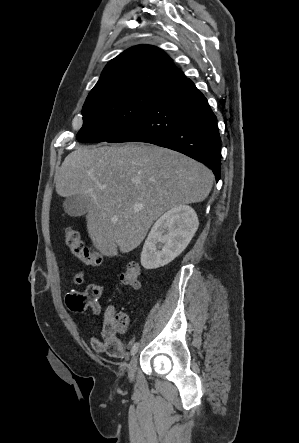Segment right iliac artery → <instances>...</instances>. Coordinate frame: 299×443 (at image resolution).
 Listing matches in <instances>:
<instances>
[{"label":"right iliac artery","instance_id":"obj_1","mask_svg":"<svg viewBox=\"0 0 299 443\" xmlns=\"http://www.w3.org/2000/svg\"><path fill=\"white\" fill-rule=\"evenodd\" d=\"M139 343H135L131 349V355H135L138 351Z\"/></svg>","mask_w":299,"mask_h":443}]
</instances>
